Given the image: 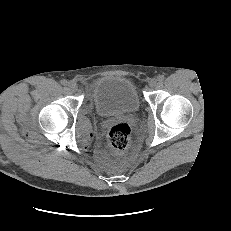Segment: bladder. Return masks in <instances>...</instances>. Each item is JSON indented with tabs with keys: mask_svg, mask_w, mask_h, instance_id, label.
Segmentation results:
<instances>
[{
	"mask_svg": "<svg viewBox=\"0 0 231 231\" xmlns=\"http://www.w3.org/2000/svg\"><path fill=\"white\" fill-rule=\"evenodd\" d=\"M91 100L102 117L136 112L140 106L134 84L120 76H103L91 88Z\"/></svg>",
	"mask_w": 231,
	"mask_h": 231,
	"instance_id": "1",
	"label": "bladder"
}]
</instances>
